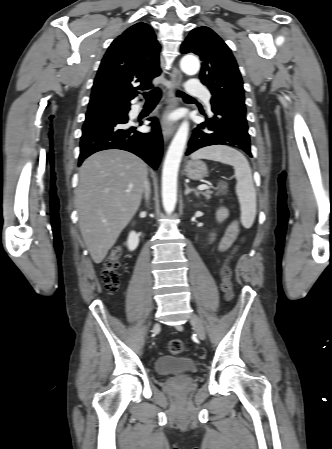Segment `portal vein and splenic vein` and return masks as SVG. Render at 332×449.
<instances>
[{"instance_id": "18ae733b", "label": "portal vein and splenic vein", "mask_w": 332, "mask_h": 449, "mask_svg": "<svg viewBox=\"0 0 332 449\" xmlns=\"http://www.w3.org/2000/svg\"><path fill=\"white\" fill-rule=\"evenodd\" d=\"M209 188V186L208 185H206V184H202V185H199L198 186V190H205V189H208ZM126 192H130V190H127Z\"/></svg>"}]
</instances>
